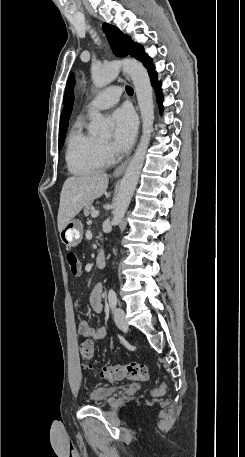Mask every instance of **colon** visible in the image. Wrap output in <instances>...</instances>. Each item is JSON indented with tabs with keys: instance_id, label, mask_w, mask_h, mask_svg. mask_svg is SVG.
Instances as JSON below:
<instances>
[{
	"instance_id": "5ec220e1",
	"label": "colon",
	"mask_w": 245,
	"mask_h": 457,
	"mask_svg": "<svg viewBox=\"0 0 245 457\" xmlns=\"http://www.w3.org/2000/svg\"><path fill=\"white\" fill-rule=\"evenodd\" d=\"M66 260L69 266V270L73 276H80L81 274V263L78 256L74 252H68L66 254ZM79 353L83 360L87 361V367L92 368L89 361L94 355V342L92 340H85L79 345ZM99 376L107 381L115 382L123 379L130 380H145L148 377V369L146 365L131 362L128 364H119L114 366H108L101 369ZM164 388H160L158 391L161 392Z\"/></svg>"
}]
</instances>
